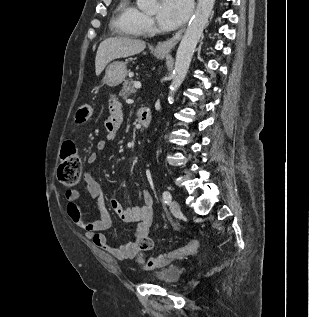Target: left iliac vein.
<instances>
[{"label":"left iliac vein","instance_id":"left-iliac-vein-1","mask_svg":"<svg viewBox=\"0 0 309 317\" xmlns=\"http://www.w3.org/2000/svg\"><path fill=\"white\" fill-rule=\"evenodd\" d=\"M170 209L174 215H179L181 213L179 203L176 200L170 202Z\"/></svg>","mask_w":309,"mask_h":317}]
</instances>
